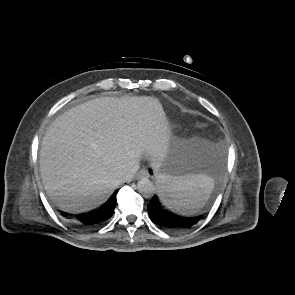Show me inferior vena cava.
I'll return each mask as SVG.
<instances>
[{"mask_svg": "<svg viewBox=\"0 0 295 295\" xmlns=\"http://www.w3.org/2000/svg\"><path fill=\"white\" fill-rule=\"evenodd\" d=\"M139 169V165H136L134 167H132L127 173L126 175L123 177V181H130L133 179V177L135 176L136 172Z\"/></svg>", "mask_w": 295, "mask_h": 295, "instance_id": "obj_1", "label": "inferior vena cava"}]
</instances>
